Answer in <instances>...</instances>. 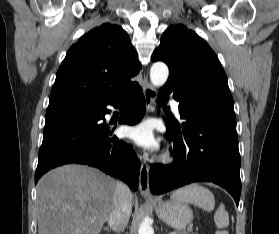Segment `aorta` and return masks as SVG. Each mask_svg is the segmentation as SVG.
Returning a JSON list of instances; mask_svg holds the SVG:
<instances>
[{
	"label": "aorta",
	"instance_id": "1",
	"mask_svg": "<svg viewBox=\"0 0 279 234\" xmlns=\"http://www.w3.org/2000/svg\"><path fill=\"white\" fill-rule=\"evenodd\" d=\"M169 76V70L165 63L163 62H155L150 69V80L151 83L160 87L163 86ZM138 234H154V230L150 224L149 218H144V220L139 225Z\"/></svg>",
	"mask_w": 279,
	"mask_h": 234
}]
</instances>
